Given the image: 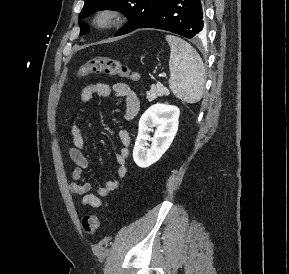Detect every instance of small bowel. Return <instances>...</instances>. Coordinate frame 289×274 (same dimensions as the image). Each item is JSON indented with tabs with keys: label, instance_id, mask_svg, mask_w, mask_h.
Segmentation results:
<instances>
[{
	"label": "small bowel",
	"instance_id": "1",
	"mask_svg": "<svg viewBox=\"0 0 289 274\" xmlns=\"http://www.w3.org/2000/svg\"><path fill=\"white\" fill-rule=\"evenodd\" d=\"M112 94L123 99L125 105L124 118L127 121L136 117L140 109V100L135 91L126 83L117 82L112 86L105 83H91L86 85L81 93L80 100L83 105L88 104L94 95L103 98H110ZM81 115H76L70 130V145L68 147V156L75 164L72 173L73 181L69 185V191L73 195L81 196L80 204L91 208H100L103 204L102 199L108 197L117 190L121 181L127 175V159L129 156V145L131 142L130 134L127 130L121 129L118 132L120 149L116 155V179L106 180L94 192L92 186L83 178V172L88 167V159L84 154L86 141L82 133L79 121Z\"/></svg>",
	"mask_w": 289,
	"mask_h": 274
}]
</instances>
